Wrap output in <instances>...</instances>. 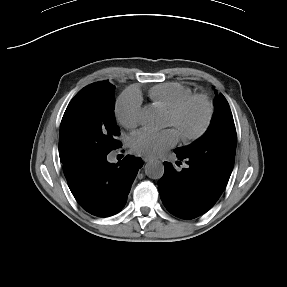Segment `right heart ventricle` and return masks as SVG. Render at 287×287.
Returning a JSON list of instances; mask_svg holds the SVG:
<instances>
[{"label":"right heart ventricle","mask_w":287,"mask_h":287,"mask_svg":"<svg viewBox=\"0 0 287 287\" xmlns=\"http://www.w3.org/2000/svg\"><path fill=\"white\" fill-rule=\"evenodd\" d=\"M193 94L190 87L179 82H166L152 87L149 96L153 103L169 112L181 101Z\"/></svg>","instance_id":"1"}]
</instances>
